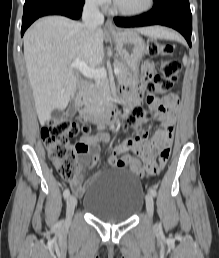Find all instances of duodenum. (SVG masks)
Masks as SVG:
<instances>
[{
  "label": "duodenum",
  "instance_id": "obj_1",
  "mask_svg": "<svg viewBox=\"0 0 219 258\" xmlns=\"http://www.w3.org/2000/svg\"><path fill=\"white\" fill-rule=\"evenodd\" d=\"M88 86H82V96L87 95ZM118 115L117 106L109 101L103 100L100 102L93 110H87L84 113V116L91 122L99 125H104L113 122Z\"/></svg>",
  "mask_w": 219,
  "mask_h": 258
}]
</instances>
